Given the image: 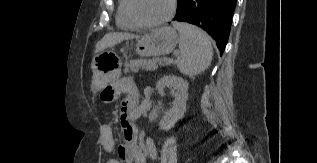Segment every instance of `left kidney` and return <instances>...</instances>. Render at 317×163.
I'll return each instance as SVG.
<instances>
[{"label": "left kidney", "instance_id": "5707ae66", "mask_svg": "<svg viewBox=\"0 0 317 163\" xmlns=\"http://www.w3.org/2000/svg\"><path fill=\"white\" fill-rule=\"evenodd\" d=\"M165 87L176 90L172 107L167 110L159 123L161 130H170L175 123L184 116L186 111V101L188 99V82L181 77L165 75L156 83V89L163 93Z\"/></svg>", "mask_w": 317, "mask_h": 163}]
</instances>
